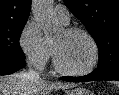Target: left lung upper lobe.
I'll list each match as a JSON object with an SVG mask.
<instances>
[{
  "instance_id": "obj_1",
  "label": "left lung upper lobe",
  "mask_w": 119,
  "mask_h": 95,
  "mask_svg": "<svg viewBox=\"0 0 119 95\" xmlns=\"http://www.w3.org/2000/svg\"><path fill=\"white\" fill-rule=\"evenodd\" d=\"M85 26L99 49L94 71L108 74L119 69V0H63Z\"/></svg>"
}]
</instances>
